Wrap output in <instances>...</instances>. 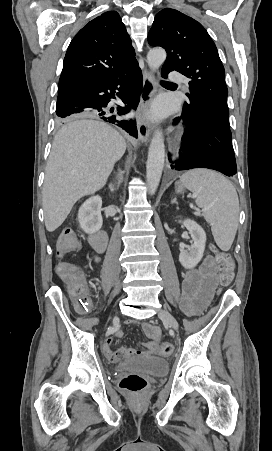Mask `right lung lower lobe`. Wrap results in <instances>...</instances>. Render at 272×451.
Wrapping results in <instances>:
<instances>
[{"mask_svg":"<svg viewBox=\"0 0 272 451\" xmlns=\"http://www.w3.org/2000/svg\"><path fill=\"white\" fill-rule=\"evenodd\" d=\"M142 89V73L138 63L117 73L109 81L87 84L58 93L57 122L90 118L101 119L115 124L132 136H137L135 120H124L109 115L104 111L107 104L120 97L125 107L118 106V115L126 114L131 108L136 109ZM119 91V92H116ZM113 112V110L111 111Z\"/></svg>","mask_w":272,"mask_h":451,"instance_id":"right-lung-lower-lobe-1","label":"right lung lower lobe"}]
</instances>
